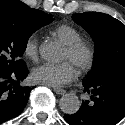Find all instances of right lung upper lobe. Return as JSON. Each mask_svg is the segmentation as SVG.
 Here are the masks:
<instances>
[{
	"label": "right lung upper lobe",
	"instance_id": "1",
	"mask_svg": "<svg viewBox=\"0 0 125 125\" xmlns=\"http://www.w3.org/2000/svg\"><path fill=\"white\" fill-rule=\"evenodd\" d=\"M44 12L32 9L18 0H0V17L17 25H32L37 22Z\"/></svg>",
	"mask_w": 125,
	"mask_h": 125
}]
</instances>
